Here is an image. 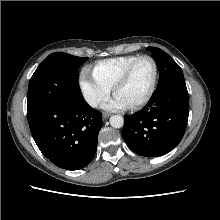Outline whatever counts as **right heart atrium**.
Here are the masks:
<instances>
[{
    "mask_svg": "<svg viewBox=\"0 0 220 220\" xmlns=\"http://www.w3.org/2000/svg\"><path fill=\"white\" fill-rule=\"evenodd\" d=\"M84 100L91 107H98L110 94L111 87L101 82L89 68H84L79 77Z\"/></svg>",
    "mask_w": 220,
    "mask_h": 220,
    "instance_id": "d8ad5b80",
    "label": "right heart atrium"
}]
</instances>
